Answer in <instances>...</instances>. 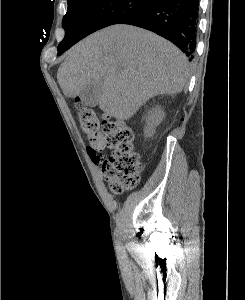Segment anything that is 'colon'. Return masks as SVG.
<instances>
[{"mask_svg": "<svg viewBox=\"0 0 245 300\" xmlns=\"http://www.w3.org/2000/svg\"><path fill=\"white\" fill-rule=\"evenodd\" d=\"M75 106L81 129L88 135V154L102 169L111 190L119 194L136 187L140 182L141 162L134 150L132 130L108 116L100 120L80 99L75 100ZM107 148L111 153L104 156L102 152Z\"/></svg>", "mask_w": 245, "mask_h": 300, "instance_id": "5ec220e1", "label": "colon"}]
</instances>
